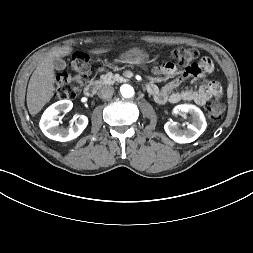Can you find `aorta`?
Returning a JSON list of instances; mask_svg holds the SVG:
<instances>
[{
  "mask_svg": "<svg viewBox=\"0 0 253 253\" xmlns=\"http://www.w3.org/2000/svg\"><path fill=\"white\" fill-rule=\"evenodd\" d=\"M120 92L123 97L130 98L134 95V89L131 85L124 84L120 87Z\"/></svg>",
  "mask_w": 253,
  "mask_h": 253,
  "instance_id": "1",
  "label": "aorta"
}]
</instances>
